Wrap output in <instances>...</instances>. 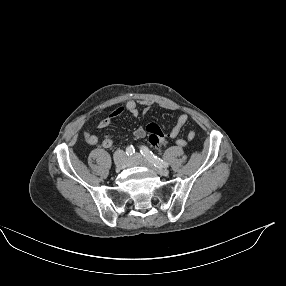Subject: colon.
Instances as JSON below:
<instances>
[{"mask_svg":"<svg viewBox=\"0 0 286 286\" xmlns=\"http://www.w3.org/2000/svg\"><path fill=\"white\" fill-rule=\"evenodd\" d=\"M146 129L149 134V141L152 144H159L163 141L164 133L158 124L154 122H150L147 124ZM106 138H109V137H106Z\"/></svg>","mask_w":286,"mask_h":286,"instance_id":"obj_1","label":"colon"}]
</instances>
